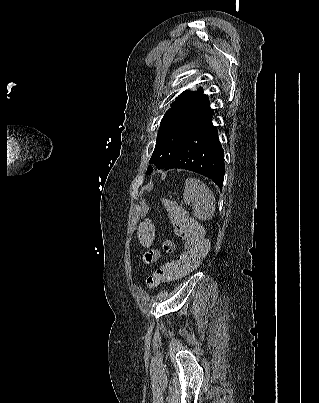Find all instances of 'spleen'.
<instances>
[{"instance_id":"spleen-1","label":"spleen","mask_w":319,"mask_h":403,"mask_svg":"<svg viewBox=\"0 0 319 403\" xmlns=\"http://www.w3.org/2000/svg\"><path fill=\"white\" fill-rule=\"evenodd\" d=\"M184 202L193 204L194 217L210 220L215 213V197L207 185L197 178H187L183 193Z\"/></svg>"}]
</instances>
